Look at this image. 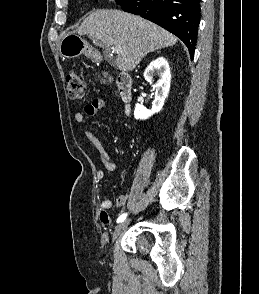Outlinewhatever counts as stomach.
Masks as SVG:
<instances>
[{
	"instance_id": "obj_1",
	"label": "stomach",
	"mask_w": 259,
	"mask_h": 294,
	"mask_svg": "<svg viewBox=\"0 0 259 294\" xmlns=\"http://www.w3.org/2000/svg\"><path fill=\"white\" fill-rule=\"evenodd\" d=\"M59 52L63 57L74 58L81 54L86 57H96L92 47L76 32H68L62 38L59 45Z\"/></svg>"
}]
</instances>
